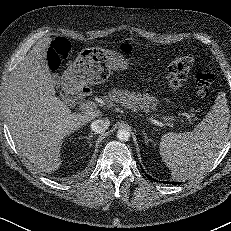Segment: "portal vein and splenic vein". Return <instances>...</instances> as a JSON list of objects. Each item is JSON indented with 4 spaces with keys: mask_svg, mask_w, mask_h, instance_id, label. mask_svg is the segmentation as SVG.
<instances>
[{
    "mask_svg": "<svg viewBox=\"0 0 231 231\" xmlns=\"http://www.w3.org/2000/svg\"><path fill=\"white\" fill-rule=\"evenodd\" d=\"M96 107H97V104L94 101H87V102H84L80 105V109L86 110V111L93 110ZM176 119L178 120V118H176ZM173 120H175V119H172V121ZM158 123H160L162 125H166V126H172L173 125L172 122H168L167 120H165L164 122H158Z\"/></svg>",
    "mask_w": 231,
    "mask_h": 231,
    "instance_id": "obj_1",
    "label": "portal vein and splenic vein"
}]
</instances>
